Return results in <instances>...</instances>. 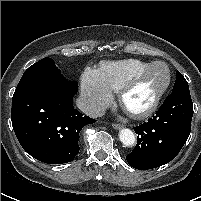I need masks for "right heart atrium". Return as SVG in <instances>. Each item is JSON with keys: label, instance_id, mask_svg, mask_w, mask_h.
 <instances>
[{"label": "right heart atrium", "instance_id": "right-heart-atrium-1", "mask_svg": "<svg viewBox=\"0 0 201 201\" xmlns=\"http://www.w3.org/2000/svg\"><path fill=\"white\" fill-rule=\"evenodd\" d=\"M81 105L90 116L99 115L112 101L110 88L104 83L97 69L87 68L81 78Z\"/></svg>", "mask_w": 201, "mask_h": 201}]
</instances>
